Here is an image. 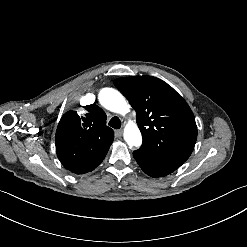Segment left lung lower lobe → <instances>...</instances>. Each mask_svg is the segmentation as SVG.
Instances as JSON below:
<instances>
[{"instance_id":"obj_1","label":"left lung lower lobe","mask_w":247,"mask_h":247,"mask_svg":"<svg viewBox=\"0 0 247 247\" xmlns=\"http://www.w3.org/2000/svg\"><path fill=\"white\" fill-rule=\"evenodd\" d=\"M133 156L141 169L154 178L166 176L181 166L143 148L134 151Z\"/></svg>"}]
</instances>
